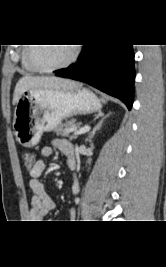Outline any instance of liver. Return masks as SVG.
Here are the masks:
<instances>
[{
	"mask_svg": "<svg viewBox=\"0 0 166 267\" xmlns=\"http://www.w3.org/2000/svg\"><path fill=\"white\" fill-rule=\"evenodd\" d=\"M80 84L55 76L32 77L24 76L16 84L12 104L16 105L21 95L28 90H68Z\"/></svg>",
	"mask_w": 166,
	"mask_h": 267,
	"instance_id": "6515ba94",
	"label": "liver"
}]
</instances>
